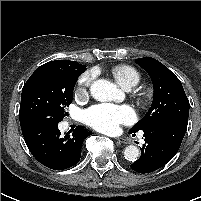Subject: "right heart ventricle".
Here are the masks:
<instances>
[{
	"label": "right heart ventricle",
	"instance_id": "e07e8e85",
	"mask_svg": "<svg viewBox=\"0 0 201 201\" xmlns=\"http://www.w3.org/2000/svg\"><path fill=\"white\" fill-rule=\"evenodd\" d=\"M110 73L116 82L124 89H131L140 81V73L138 70L127 64L112 67Z\"/></svg>",
	"mask_w": 201,
	"mask_h": 201
}]
</instances>
